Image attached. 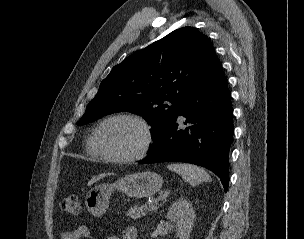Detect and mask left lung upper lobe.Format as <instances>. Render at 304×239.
I'll return each instance as SVG.
<instances>
[{
    "mask_svg": "<svg viewBox=\"0 0 304 239\" xmlns=\"http://www.w3.org/2000/svg\"><path fill=\"white\" fill-rule=\"evenodd\" d=\"M215 60L205 35L193 27L177 29L114 66L78 125L115 112H135L153 127L156 141Z\"/></svg>",
    "mask_w": 304,
    "mask_h": 239,
    "instance_id": "1",
    "label": "left lung upper lobe"
}]
</instances>
